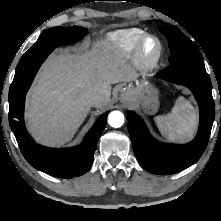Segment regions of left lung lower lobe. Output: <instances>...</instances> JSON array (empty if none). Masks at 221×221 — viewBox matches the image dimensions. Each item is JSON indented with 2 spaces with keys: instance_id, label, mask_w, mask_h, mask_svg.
<instances>
[{
  "instance_id": "1",
  "label": "left lung lower lobe",
  "mask_w": 221,
  "mask_h": 221,
  "mask_svg": "<svg viewBox=\"0 0 221 221\" xmlns=\"http://www.w3.org/2000/svg\"><path fill=\"white\" fill-rule=\"evenodd\" d=\"M157 77L187 86L200 108V124L193 141L184 145L157 144L144 122L128 111L127 127L134 152L141 165L149 172L160 175L174 174L193 165L203 154L215 117L212 85L206 70L185 65H169Z\"/></svg>"
}]
</instances>
